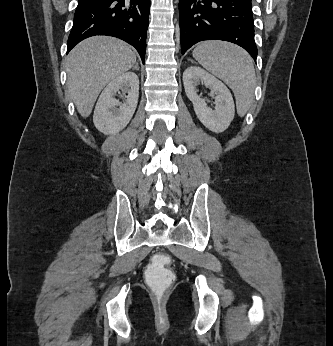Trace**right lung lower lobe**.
<instances>
[{
  "instance_id": "obj_1",
  "label": "right lung lower lobe",
  "mask_w": 333,
  "mask_h": 346,
  "mask_svg": "<svg viewBox=\"0 0 333 346\" xmlns=\"http://www.w3.org/2000/svg\"><path fill=\"white\" fill-rule=\"evenodd\" d=\"M150 0H78L67 53L95 35L120 38L139 52L144 63Z\"/></svg>"
}]
</instances>
